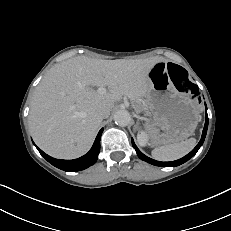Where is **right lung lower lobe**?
<instances>
[{
    "instance_id": "obj_1",
    "label": "right lung lower lobe",
    "mask_w": 231,
    "mask_h": 231,
    "mask_svg": "<svg viewBox=\"0 0 231 231\" xmlns=\"http://www.w3.org/2000/svg\"><path fill=\"white\" fill-rule=\"evenodd\" d=\"M103 129H101L95 139V142L90 149V151L85 154L84 156L74 159V160H60V159H54L50 157L49 155L45 154L42 150H40L37 146L36 148L40 152V154L53 166L64 170V171H81L84 170L91 165H93L98 158V154L100 152V139ZM35 145V144H34Z\"/></svg>"
}]
</instances>
